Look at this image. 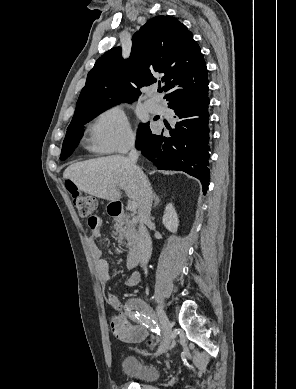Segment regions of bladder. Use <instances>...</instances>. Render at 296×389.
Here are the masks:
<instances>
[{"instance_id":"bladder-1","label":"bladder","mask_w":296,"mask_h":389,"mask_svg":"<svg viewBox=\"0 0 296 389\" xmlns=\"http://www.w3.org/2000/svg\"><path fill=\"white\" fill-rule=\"evenodd\" d=\"M123 370L128 378L139 382H153L160 375L156 366L143 364L134 356H129L124 360Z\"/></svg>"}]
</instances>
